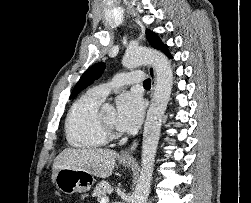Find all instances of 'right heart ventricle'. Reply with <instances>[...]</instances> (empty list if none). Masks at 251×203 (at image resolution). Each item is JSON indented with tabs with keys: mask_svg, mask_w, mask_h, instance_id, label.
<instances>
[{
	"mask_svg": "<svg viewBox=\"0 0 251 203\" xmlns=\"http://www.w3.org/2000/svg\"><path fill=\"white\" fill-rule=\"evenodd\" d=\"M102 101L87 92L70 107L65 120V132L72 147L89 150L107 143L99 124L98 111Z\"/></svg>",
	"mask_w": 251,
	"mask_h": 203,
	"instance_id": "e07e8e85",
	"label": "right heart ventricle"
}]
</instances>
